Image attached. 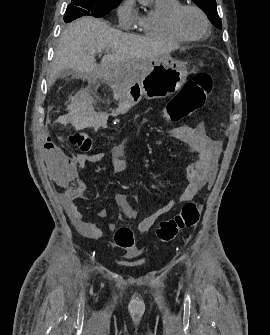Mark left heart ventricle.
<instances>
[{
  "label": "left heart ventricle",
  "mask_w": 270,
  "mask_h": 335,
  "mask_svg": "<svg viewBox=\"0 0 270 335\" xmlns=\"http://www.w3.org/2000/svg\"><path fill=\"white\" fill-rule=\"evenodd\" d=\"M183 31L191 37H200L205 33V24L202 17L194 10H185L180 17Z\"/></svg>",
  "instance_id": "left-heart-ventricle-1"
}]
</instances>
